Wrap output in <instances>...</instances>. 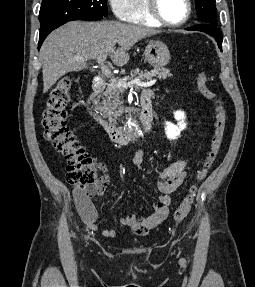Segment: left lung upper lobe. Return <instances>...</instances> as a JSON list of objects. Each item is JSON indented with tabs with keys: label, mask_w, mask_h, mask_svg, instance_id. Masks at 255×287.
<instances>
[{
	"label": "left lung upper lobe",
	"mask_w": 255,
	"mask_h": 287,
	"mask_svg": "<svg viewBox=\"0 0 255 287\" xmlns=\"http://www.w3.org/2000/svg\"><path fill=\"white\" fill-rule=\"evenodd\" d=\"M197 16L199 19L208 24L217 25V13L215 0H195Z\"/></svg>",
	"instance_id": "5c2ea615"
}]
</instances>
